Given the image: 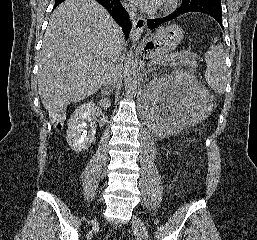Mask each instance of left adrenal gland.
<instances>
[{"label":"left adrenal gland","mask_w":257,"mask_h":240,"mask_svg":"<svg viewBox=\"0 0 257 240\" xmlns=\"http://www.w3.org/2000/svg\"><path fill=\"white\" fill-rule=\"evenodd\" d=\"M143 72H144V76H145V79H146V77H147L148 73L150 72V70L144 69Z\"/></svg>","instance_id":"a2214340"}]
</instances>
